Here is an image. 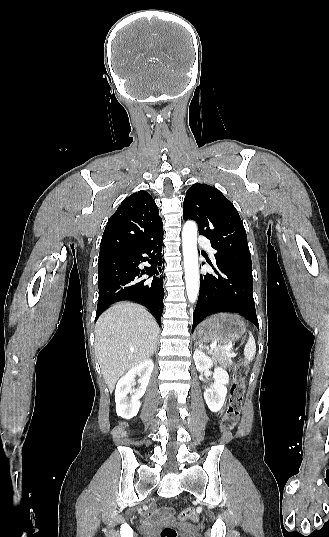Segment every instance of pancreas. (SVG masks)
I'll list each match as a JSON object with an SVG mask.
<instances>
[{"instance_id":"1","label":"pancreas","mask_w":329,"mask_h":537,"mask_svg":"<svg viewBox=\"0 0 329 537\" xmlns=\"http://www.w3.org/2000/svg\"><path fill=\"white\" fill-rule=\"evenodd\" d=\"M208 353L212 356V359L215 362H219L223 366H231L232 365L231 356L226 354L223 350L214 349V350L208 351Z\"/></svg>"}]
</instances>
